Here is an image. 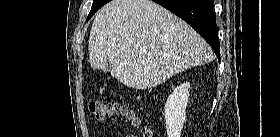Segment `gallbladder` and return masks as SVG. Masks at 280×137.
Returning <instances> with one entry per match:
<instances>
[{
	"label": "gallbladder",
	"instance_id": "gallbladder-1",
	"mask_svg": "<svg viewBox=\"0 0 280 137\" xmlns=\"http://www.w3.org/2000/svg\"><path fill=\"white\" fill-rule=\"evenodd\" d=\"M110 68H111V62L108 61V62H107V66H106L104 69H102V71H103L104 73H108V72L110 71Z\"/></svg>",
	"mask_w": 280,
	"mask_h": 137
}]
</instances>
